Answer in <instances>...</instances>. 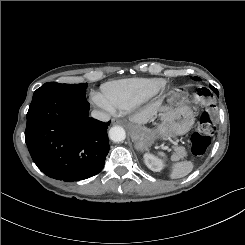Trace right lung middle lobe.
Instances as JSON below:
<instances>
[{
    "label": "right lung middle lobe",
    "instance_id": "obj_1",
    "mask_svg": "<svg viewBox=\"0 0 245 245\" xmlns=\"http://www.w3.org/2000/svg\"><path fill=\"white\" fill-rule=\"evenodd\" d=\"M87 83L82 84H60L56 82H48L38 88L34 94L33 98L47 93V92H72L76 94H86L85 89L87 87Z\"/></svg>",
    "mask_w": 245,
    "mask_h": 245
}]
</instances>
